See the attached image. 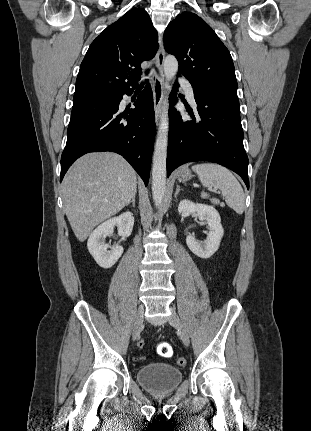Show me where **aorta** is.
Returning <instances> with one entry per match:
<instances>
[{"label": "aorta", "mask_w": 311, "mask_h": 431, "mask_svg": "<svg viewBox=\"0 0 311 431\" xmlns=\"http://www.w3.org/2000/svg\"><path fill=\"white\" fill-rule=\"evenodd\" d=\"M178 72V62L175 56H167L164 62L165 88H170L168 82ZM169 116L167 100L164 102L160 116V124L153 152L152 162V198L154 206L161 208L166 192L167 148H168Z\"/></svg>", "instance_id": "762f6f07"}]
</instances>
